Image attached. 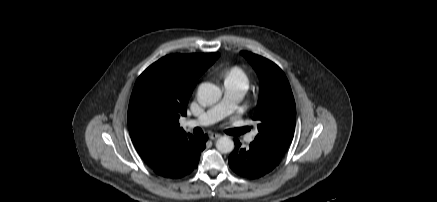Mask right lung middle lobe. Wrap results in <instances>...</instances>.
Segmentation results:
<instances>
[{
    "instance_id": "1",
    "label": "right lung middle lobe",
    "mask_w": 437,
    "mask_h": 202,
    "mask_svg": "<svg viewBox=\"0 0 437 202\" xmlns=\"http://www.w3.org/2000/svg\"><path fill=\"white\" fill-rule=\"evenodd\" d=\"M161 81L162 73L154 72L149 75L140 90V96L144 102H147L156 93Z\"/></svg>"
}]
</instances>
